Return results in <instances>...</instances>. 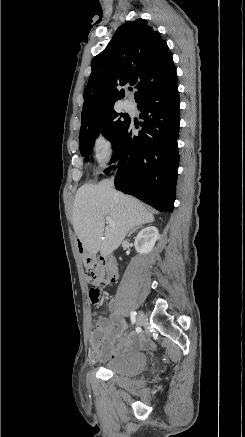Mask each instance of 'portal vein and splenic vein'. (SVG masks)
<instances>
[{"label": "portal vein and splenic vein", "instance_id": "1", "mask_svg": "<svg viewBox=\"0 0 245 437\" xmlns=\"http://www.w3.org/2000/svg\"><path fill=\"white\" fill-rule=\"evenodd\" d=\"M106 222L107 224H109L110 226H115V223L113 222V220L110 217H106Z\"/></svg>", "mask_w": 245, "mask_h": 437}]
</instances>
